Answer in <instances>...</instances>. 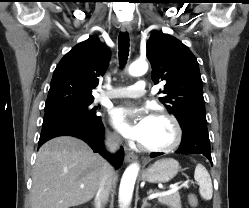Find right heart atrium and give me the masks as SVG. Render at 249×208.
<instances>
[{"instance_id": "1", "label": "right heart atrium", "mask_w": 249, "mask_h": 208, "mask_svg": "<svg viewBox=\"0 0 249 208\" xmlns=\"http://www.w3.org/2000/svg\"><path fill=\"white\" fill-rule=\"evenodd\" d=\"M107 139L111 143H116V142H118L119 137H118V135L115 132H108L107 133Z\"/></svg>"}]
</instances>
